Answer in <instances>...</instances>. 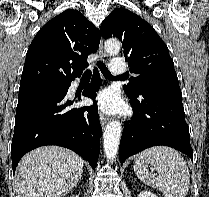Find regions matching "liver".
Returning a JSON list of instances; mask_svg holds the SVG:
<instances>
[{
  "mask_svg": "<svg viewBox=\"0 0 209 197\" xmlns=\"http://www.w3.org/2000/svg\"><path fill=\"white\" fill-rule=\"evenodd\" d=\"M84 160L59 146L39 147L18 165L20 197H63L78 183Z\"/></svg>",
  "mask_w": 209,
  "mask_h": 197,
  "instance_id": "liver-1",
  "label": "liver"
}]
</instances>
